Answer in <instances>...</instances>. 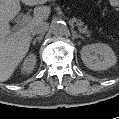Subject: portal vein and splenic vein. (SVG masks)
Instances as JSON below:
<instances>
[{
  "mask_svg": "<svg viewBox=\"0 0 119 119\" xmlns=\"http://www.w3.org/2000/svg\"><path fill=\"white\" fill-rule=\"evenodd\" d=\"M32 21H33V18L31 16L27 15L22 19L20 25L24 26L26 24H30Z\"/></svg>",
  "mask_w": 119,
  "mask_h": 119,
  "instance_id": "18ae733b",
  "label": "portal vein and splenic vein"
}]
</instances>
